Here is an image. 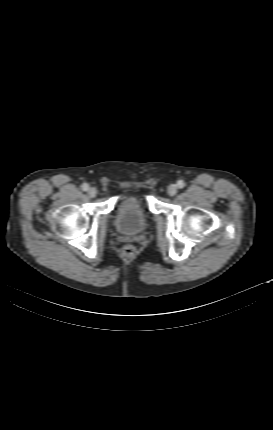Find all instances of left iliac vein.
Listing matches in <instances>:
<instances>
[{"label": "left iliac vein", "instance_id": "4c4485c4", "mask_svg": "<svg viewBox=\"0 0 273 430\" xmlns=\"http://www.w3.org/2000/svg\"><path fill=\"white\" fill-rule=\"evenodd\" d=\"M168 194L170 195V196H174V195H176V193H177V186L176 185H174V184H172V185H170L169 187H168Z\"/></svg>", "mask_w": 273, "mask_h": 430}]
</instances>
